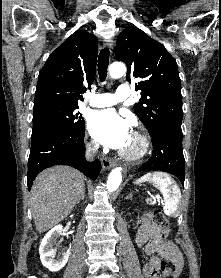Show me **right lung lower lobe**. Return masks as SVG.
<instances>
[{
    "label": "right lung lower lobe",
    "instance_id": "1",
    "mask_svg": "<svg viewBox=\"0 0 221 278\" xmlns=\"http://www.w3.org/2000/svg\"><path fill=\"white\" fill-rule=\"evenodd\" d=\"M85 126L76 131H53L32 139L28 160V189L42 170L53 165L72 166L92 179H96L101 164L98 160H85L83 143Z\"/></svg>",
    "mask_w": 221,
    "mask_h": 278
}]
</instances>
